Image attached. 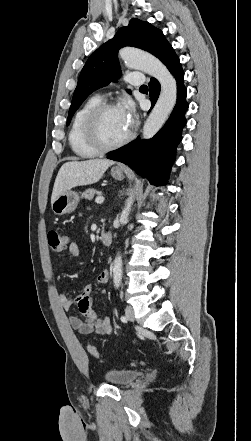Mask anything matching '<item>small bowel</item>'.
Here are the masks:
<instances>
[{
	"instance_id": "1",
	"label": "small bowel",
	"mask_w": 251,
	"mask_h": 441,
	"mask_svg": "<svg viewBox=\"0 0 251 441\" xmlns=\"http://www.w3.org/2000/svg\"><path fill=\"white\" fill-rule=\"evenodd\" d=\"M69 254L72 257L80 256V247L77 243L72 242L67 247ZM109 281V272L102 271L96 278L98 286H104ZM101 295H105L106 291H102ZM59 303L65 310H70L74 304L82 316L71 315L69 322L71 326L81 334H90L95 332L100 335H107L112 333V325L108 317H99L93 307V288L91 285L84 286L80 295L72 299L68 294L61 293L58 296Z\"/></svg>"
}]
</instances>
